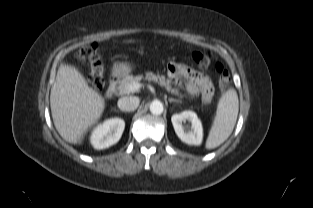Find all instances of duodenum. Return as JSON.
Returning <instances> with one entry per match:
<instances>
[{
  "mask_svg": "<svg viewBox=\"0 0 313 208\" xmlns=\"http://www.w3.org/2000/svg\"><path fill=\"white\" fill-rule=\"evenodd\" d=\"M116 83H117V78L115 76H112L108 87L106 89V95L108 97H112L115 94L116 91Z\"/></svg>",
  "mask_w": 313,
  "mask_h": 208,
  "instance_id": "duodenum-1",
  "label": "duodenum"
}]
</instances>
